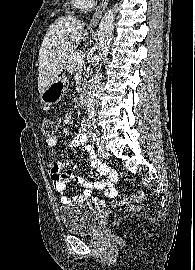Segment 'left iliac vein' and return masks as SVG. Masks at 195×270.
<instances>
[{
  "label": "left iliac vein",
  "instance_id": "left-iliac-vein-1",
  "mask_svg": "<svg viewBox=\"0 0 195 270\" xmlns=\"http://www.w3.org/2000/svg\"><path fill=\"white\" fill-rule=\"evenodd\" d=\"M96 145L98 147V151L100 153V156L103 158H108L110 155L109 150L100 141H98V143Z\"/></svg>",
  "mask_w": 195,
  "mask_h": 270
}]
</instances>
